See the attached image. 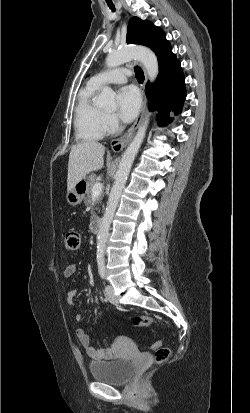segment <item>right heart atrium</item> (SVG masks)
<instances>
[{
  "instance_id": "d8ad5b80",
  "label": "right heart atrium",
  "mask_w": 250,
  "mask_h": 413,
  "mask_svg": "<svg viewBox=\"0 0 250 413\" xmlns=\"http://www.w3.org/2000/svg\"><path fill=\"white\" fill-rule=\"evenodd\" d=\"M121 127L118 117L114 113L104 114V132L111 134L118 131Z\"/></svg>"
}]
</instances>
